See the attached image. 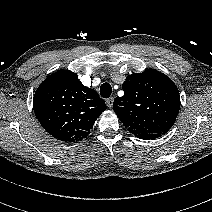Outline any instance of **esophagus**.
Segmentation results:
<instances>
[{
  "mask_svg": "<svg viewBox=\"0 0 212 212\" xmlns=\"http://www.w3.org/2000/svg\"><path fill=\"white\" fill-rule=\"evenodd\" d=\"M113 102H114V98L110 97L106 100V104L109 108H111L113 106Z\"/></svg>",
  "mask_w": 212,
  "mask_h": 212,
  "instance_id": "obj_1",
  "label": "esophagus"
}]
</instances>
